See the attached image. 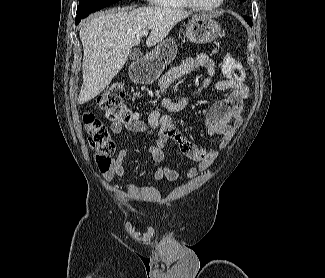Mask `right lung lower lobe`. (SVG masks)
Here are the masks:
<instances>
[{"instance_id": "1", "label": "right lung lower lobe", "mask_w": 325, "mask_h": 278, "mask_svg": "<svg viewBox=\"0 0 325 278\" xmlns=\"http://www.w3.org/2000/svg\"><path fill=\"white\" fill-rule=\"evenodd\" d=\"M88 15L84 16V15H81L79 17H76V24H78L80 22L81 19L87 17Z\"/></svg>"}]
</instances>
